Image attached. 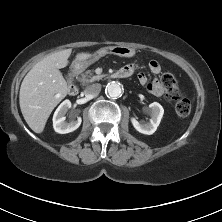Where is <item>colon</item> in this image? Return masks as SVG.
Instances as JSON below:
<instances>
[{
	"label": "colon",
	"mask_w": 222,
	"mask_h": 222,
	"mask_svg": "<svg viewBox=\"0 0 222 222\" xmlns=\"http://www.w3.org/2000/svg\"><path fill=\"white\" fill-rule=\"evenodd\" d=\"M164 89V96L168 101L175 103V111L179 117H187L191 111L189 99L178 89L175 76L171 72H164L160 77Z\"/></svg>",
	"instance_id": "1"
}]
</instances>
